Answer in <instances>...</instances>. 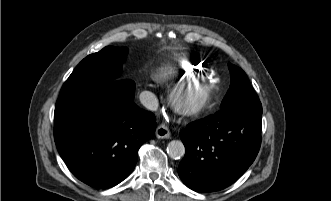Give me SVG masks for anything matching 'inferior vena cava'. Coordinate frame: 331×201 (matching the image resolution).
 <instances>
[{"label":"inferior vena cava","mask_w":331,"mask_h":201,"mask_svg":"<svg viewBox=\"0 0 331 201\" xmlns=\"http://www.w3.org/2000/svg\"><path fill=\"white\" fill-rule=\"evenodd\" d=\"M140 101L147 109L155 111L158 108V99L157 97L149 91H144L140 94Z\"/></svg>","instance_id":"inferior-vena-cava-1"}]
</instances>
